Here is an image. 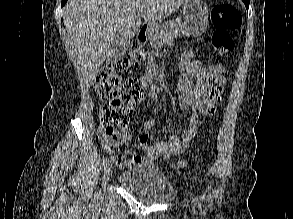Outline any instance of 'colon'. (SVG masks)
Listing matches in <instances>:
<instances>
[{
	"label": "colon",
	"instance_id": "obj_1",
	"mask_svg": "<svg viewBox=\"0 0 293 219\" xmlns=\"http://www.w3.org/2000/svg\"><path fill=\"white\" fill-rule=\"evenodd\" d=\"M215 27L212 46L217 55H226L233 51L235 43L232 32L239 29L242 17L238 9L228 3L216 4L211 11ZM141 46L134 44L129 53L119 61L105 64L92 79L97 95L106 103L100 107L97 117L109 135L116 134V129L128 127L137 103L143 98V87L132 75L134 66L143 59ZM215 70L222 75L224 68L217 65ZM185 161L177 164L184 167Z\"/></svg>",
	"mask_w": 293,
	"mask_h": 219
}]
</instances>
